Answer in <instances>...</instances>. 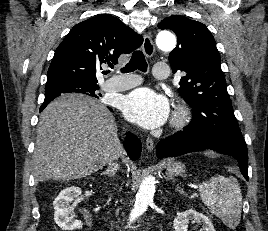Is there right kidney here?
Wrapping results in <instances>:
<instances>
[{
    "label": "right kidney",
    "instance_id": "ca27d5eb",
    "mask_svg": "<svg viewBox=\"0 0 268 231\" xmlns=\"http://www.w3.org/2000/svg\"><path fill=\"white\" fill-rule=\"evenodd\" d=\"M80 194L81 189L79 187L71 186L62 190L54 200V220L62 230L70 231L82 228L81 221L70 216L72 211L70 204Z\"/></svg>",
    "mask_w": 268,
    "mask_h": 231
}]
</instances>
